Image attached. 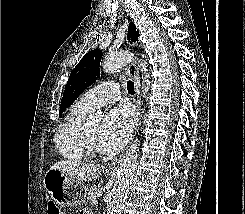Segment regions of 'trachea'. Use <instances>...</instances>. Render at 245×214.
I'll use <instances>...</instances> for the list:
<instances>
[{
    "instance_id": "3493384b",
    "label": "trachea",
    "mask_w": 245,
    "mask_h": 214,
    "mask_svg": "<svg viewBox=\"0 0 245 214\" xmlns=\"http://www.w3.org/2000/svg\"><path fill=\"white\" fill-rule=\"evenodd\" d=\"M127 90H128V92L131 95H133L135 93V91H134V83L132 81H130V80L127 82Z\"/></svg>"
}]
</instances>
